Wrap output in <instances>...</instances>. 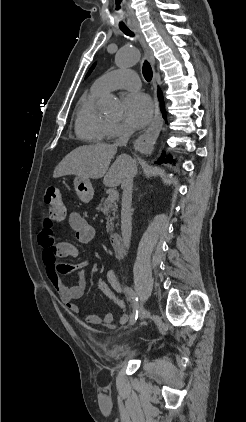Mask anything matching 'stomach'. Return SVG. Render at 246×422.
<instances>
[{
  "label": "stomach",
  "mask_w": 246,
  "mask_h": 422,
  "mask_svg": "<svg viewBox=\"0 0 246 422\" xmlns=\"http://www.w3.org/2000/svg\"><path fill=\"white\" fill-rule=\"evenodd\" d=\"M74 188L82 202L88 203L94 196V189L88 178L76 176L74 178Z\"/></svg>",
  "instance_id": "obj_1"
}]
</instances>
